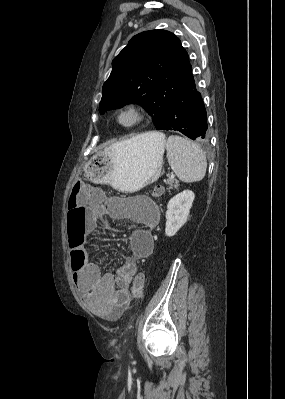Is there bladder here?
Returning <instances> with one entry per match:
<instances>
[{
    "label": "bladder",
    "instance_id": "bladder-1",
    "mask_svg": "<svg viewBox=\"0 0 285 399\" xmlns=\"http://www.w3.org/2000/svg\"><path fill=\"white\" fill-rule=\"evenodd\" d=\"M130 200H138L140 201V203L145 206L148 210H150L151 212H155L157 210V206L155 205L154 201L151 200L148 197H144V196H135L132 198H129Z\"/></svg>",
    "mask_w": 285,
    "mask_h": 399
}]
</instances>
